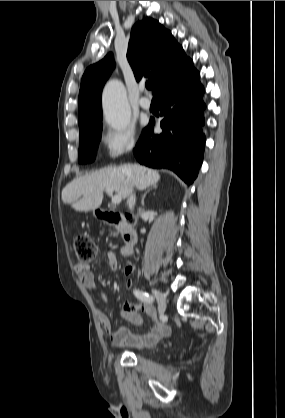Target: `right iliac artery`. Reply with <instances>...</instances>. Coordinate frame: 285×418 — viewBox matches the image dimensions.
I'll return each mask as SVG.
<instances>
[{
    "label": "right iliac artery",
    "instance_id": "1",
    "mask_svg": "<svg viewBox=\"0 0 285 418\" xmlns=\"http://www.w3.org/2000/svg\"><path fill=\"white\" fill-rule=\"evenodd\" d=\"M134 295L141 301L146 302V303H153V297L150 296L148 293L143 292L142 290L139 289H135L133 291Z\"/></svg>",
    "mask_w": 285,
    "mask_h": 418
}]
</instances>
